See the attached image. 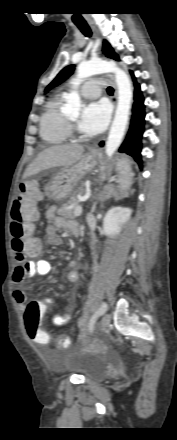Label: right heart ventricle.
Wrapping results in <instances>:
<instances>
[{
	"mask_svg": "<svg viewBox=\"0 0 177 440\" xmlns=\"http://www.w3.org/2000/svg\"><path fill=\"white\" fill-rule=\"evenodd\" d=\"M61 105L62 98L54 96L46 104L40 118V137L48 145L63 144L70 135V126Z\"/></svg>",
	"mask_w": 177,
	"mask_h": 440,
	"instance_id": "e07e8e85",
	"label": "right heart ventricle"
}]
</instances>
